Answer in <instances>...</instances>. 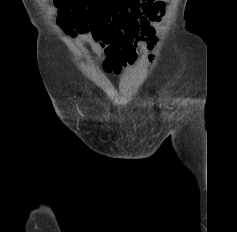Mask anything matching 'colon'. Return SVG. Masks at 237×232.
Here are the masks:
<instances>
[{
	"instance_id": "1",
	"label": "colon",
	"mask_w": 237,
	"mask_h": 232,
	"mask_svg": "<svg viewBox=\"0 0 237 232\" xmlns=\"http://www.w3.org/2000/svg\"><path fill=\"white\" fill-rule=\"evenodd\" d=\"M59 22L75 34L100 32L107 20L128 15L146 0H53Z\"/></svg>"
}]
</instances>
